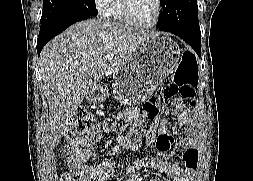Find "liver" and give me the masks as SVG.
Wrapping results in <instances>:
<instances>
[{
    "instance_id": "obj_1",
    "label": "liver",
    "mask_w": 253,
    "mask_h": 181,
    "mask_svg": "<svg viewBox=\"0 0 253 181\" xmlns=\"http://www.w3.org/2000/svg\"><path fill=\"white\" fill-rule=\"evenodd\" d=\"M150 37L155 34L89 19L73 24L45 45L40 55V73L49 105L51 145L58 144L68 119L94 83L103 76L115 75ZM110 52L115 57L107 60Z\"/></svg>"
}]
</instances>
